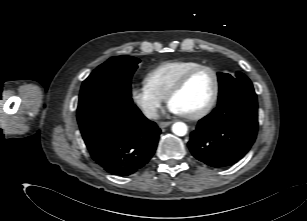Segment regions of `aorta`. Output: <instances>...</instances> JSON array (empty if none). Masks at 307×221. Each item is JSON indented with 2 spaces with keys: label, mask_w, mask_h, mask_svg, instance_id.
<instances>
[{
  "label": "aorta",
  "mask_w": 307,
  "mask_h": 221,
  "mask_svg": "<svg viewBox=\"0 0 307 221\" xmlns=\"http://www.w3.org/2000/svg\"><path fill=\"white\" fill-rule=\"evenodd\" d=\"M188 127L183 122H176L172 125V132L177 136H184L187 134Z\"/></svg>",
  "instance_id": "1"
}]
</instances>
